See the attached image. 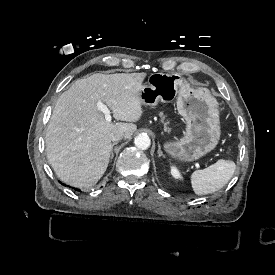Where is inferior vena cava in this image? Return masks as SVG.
Returning a JSON list of instances; mask_svg holds the SVG:
<instances>
[{
    "mask_svg": "<svg viewBox=\"0 0 275 275\" xmlns=\"http://www.w3.org/2000/svg\"><path fill=\"white\" fill-rule=\"evenodd\" d=\"M124 137H125L124 132L116 131L115 133L112 134L111 140H112V142H118L119 140H121Z\"/></svg>",
    "mask_w": 275,
    "mask_h": 275,
    "instance_id": "1",
    "label": "inferior vena cava"
}]
</instances>
